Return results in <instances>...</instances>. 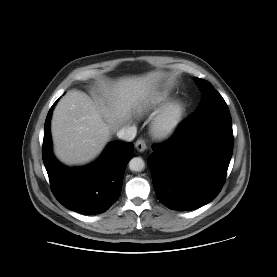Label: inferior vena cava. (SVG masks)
I'll return each mask as SVG.
<instances>
[{
	"mask_svg": "<svg viewBox=\"0 0 277 277\" xmlns=\"http://www.w3.org/2000/svg\"><path fill=\"white\" fill-rule=\"evenodd\" d=\"M137 133V128L135 126L122 127L117 132V137L125 141H132Z\"/></svg>",
	"mask_w": 277,
	"mask_h": 277,
	"instance_id": "obj_1",
	"label": "inferior vena cava"
}]
</instances>
